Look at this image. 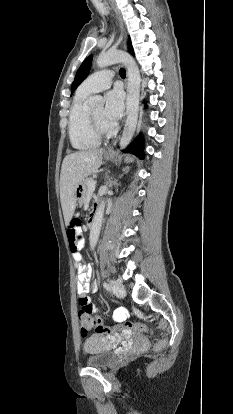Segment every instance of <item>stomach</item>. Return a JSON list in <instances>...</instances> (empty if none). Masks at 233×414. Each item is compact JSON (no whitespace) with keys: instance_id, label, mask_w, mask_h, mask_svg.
<instances>
[{"instance_id":"0dacf381","label":"stomach","mask_w":233,"mask_h":414,"mask_svg":"<svg viewBox=\"0 0 233 414\" xmlns=\"http://www.w3.org/2000/svg\"><path fill=\"white\" fill-rule=\"evenodd\" d=\"M112 158H113L112 155L105 154V159L110 160ZM75 196L79 201H83L84 198L86 197L85 196V186H84L83 182L77 187L76 192H75Z\"/></svg>"}]
</instances>
